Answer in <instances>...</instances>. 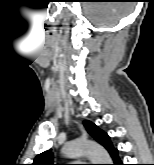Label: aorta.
<instances>
[{"instance_id":"obj_1","label":"aorta","mask_w":154,"mask_h":165,"mask_svg":"<svg viewBox=\"0 0 154 165\" xmlns=\"http://www.w3.org/2000/svg\"><path fill=\"white\" fill-rule=\"evenodd\" d=\"M63 153L68 158H76L82 155L90 157L93 164H111L112 160L108 152L99 144L94 142L74 141L63 148Z\"/></svg>"}]
</instances>
